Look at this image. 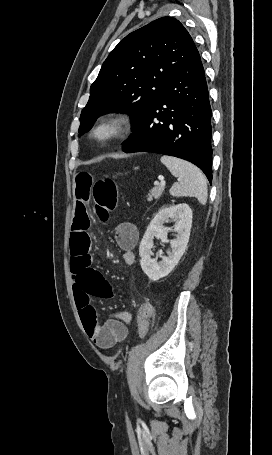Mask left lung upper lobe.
Returning a JSON list of instances; mask_svg holds the SVG:
<instances>
[{
	"label": "left lung upper lobe",
	"mask_w": 272,
	"mask_h": 455,
	"mask_svg": "<svg viewBox=\"0 0 272 455\" xmlns=\"http://www.w3.org/2000/svg\"><path fill=\"white\" fill-rule=\"evenodd\" d=\"M198 55L188 31L172 17L159 18L130 33L111 51L91 85L79 134L109 112L130 115L134 129L168 80Z\"/></svg>",
	"instance_id": "left-lung-upper-lobe-1"
}]
</instances>
